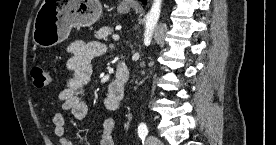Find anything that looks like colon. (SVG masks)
<instances>
[{
  "label": "colon",
  "instance_id": "colon-1",
  "mask_svg": "<svg viewBox=\"0 0 276 145\" xmlns=\"http://www.w3.org/2000/svg\"><path fill=\"white\" fill-rule=\"evenodd\" d=\"M31 78L33 81V85L37 89H42L47 87L50 84V73L43 66H34L31 69Z\"/></svg>",
  "mask_w": 276,
  "mask_h": 145
}]
</instances>
